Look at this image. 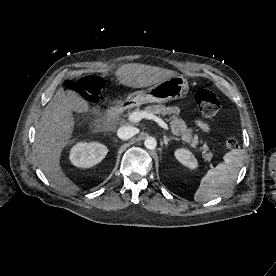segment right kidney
Masks as SVG:
<instances>
[{"label":"right kidney","mask_w":276,"mask_h":276,"mask_svg":"<svg viewBox=\"0 0 276 276\" xmlns=\"http://www.w3.org/2000/svg\"><path fill=\"white\" fill-rule=\"evenodd\" d=\"M108 153V148L98 142H79L70 151V160L73 165L81 168H90L101 162Z\"/></svg>","instance_id":"ca27d5eb"}]
</instances>
